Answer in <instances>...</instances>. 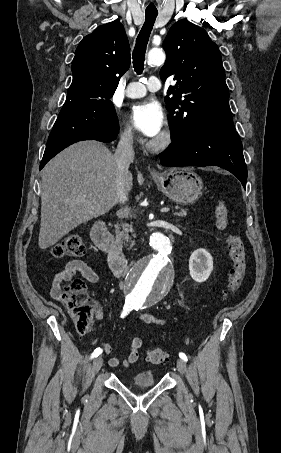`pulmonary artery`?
Returning a JSON list of instances; mask_svg holds the SVG:
<instances>
[{
  "mask_svg": "<svg viewBox=\"0 0 281 453\" xmlns=\"http://www.w3.org/2000/svg\"><path fill=\"white\" fill-rule=\"evenodd\" d=\"M161 88V82L156 77H150L147 81V89L150 91H157ZM146 86L141 82L130 83L125 91V94L129 98H139L146 94Z\"/></svg>",
  "mask_w": 281,
  "mask_h": 453,
  "instance_id": "e3ab8cb5",
  "label": "pulmonary artery"
}]
</instances>
